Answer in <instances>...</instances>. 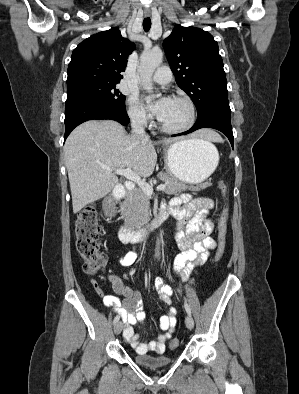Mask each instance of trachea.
I'll return each instance as SVG.
<instances>
[{
  "mask_svg": "<svg viewBox=\"0 0 299 394\" xmlns=\"http://www.w3.org/2000/svg\"><path fill=\"white\" fill-rule=\"evenodd\" d=\"M150 28H151V19H150V17H146L143 20V29H144V31L148 32L150 30Z\"/></svg>",
  "mask_w": 299,
  "mask_h": 394,
  "instance_id": "3493384b",
  "label": "trachea"
}]
</instances>
